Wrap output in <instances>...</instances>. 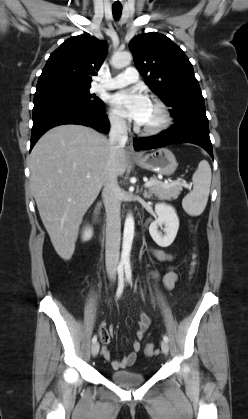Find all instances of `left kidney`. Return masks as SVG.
Segmentation results:
<instances>
[{
	"mask_svg": "<svg viewBox=\"0 0 248 419\" xmlns=\"http://www.w3.org/2000/svg\"><path fill=\"white\" fill-rule=\"evenodd\" d=\"M155 213L158 218L149 226V233L152 239L161 247L171 245L177 235L179 228V219L175 209L165 203L155 205ZM164 225L165 235L163 236L158 227Z\"/></svg>",
	"mask_w": 248,
	"mask_h": 419,
	"instance_id": "obj_1",
	"label": "left kidney"
}]
</instances>
